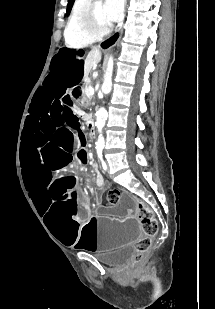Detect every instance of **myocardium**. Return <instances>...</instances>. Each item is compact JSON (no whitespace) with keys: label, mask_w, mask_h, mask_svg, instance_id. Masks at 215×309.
Masks as SVG:
<instances>
[{"label":"myocardium","mask_w":215,"mask_h":309,"mask_svg":"<svg viewBox=\"0 0 215 309\" xmlns=\"http://www.w3.org/2000/svg\"><path fill=\"white\" fill-rule=\"evenodd\" d=\"M89 11H94V6H86V9L79 10L80 16L85 18L83 24L86 26L83 31L87 33L86 37H96L101 38L104 34H109V31L113 28L114 21L112 19H91V13ZM100 25H103L102 27ZM88 45V44H86Z\"/></svg>","instance_id":"f54148a6"}]
</instances>
